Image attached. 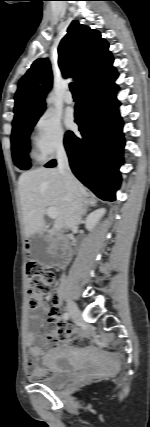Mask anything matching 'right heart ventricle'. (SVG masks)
I'll list each match as a JSON object with an SVG mask.
<instances>
[{
  "mask_svg": "<svg viewBox=\"0 0 150 427\" xmlns=\"http://www.w3.org/2000/svg\"><path fill=\"white\" fill-rule=\"evenodd\" d=\"M30 155H31L32 157H34V158H37V159H39V158H40L39 154H38L37 152H35L34 150H32V151L30 152Z\"/></svg>",
  "mask_w": 150,
  "mask_h": 427,
  "instance_id": "obj_1",
  "label": "right heart ventricle"
}]
</instances>
